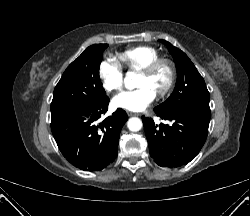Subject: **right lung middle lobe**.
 Instances as JSON below:
<instances>
[{
	"label": "right lung middle lobe",
	"mask_w": 250,
	"mask_h": 216,
	"mask_svg": "<svg viewBox=\"0 0 250 216\" xmlns=\"http://www.w3.org/2000/svg\"><path fill=\"white\" fill-rule=\"evenodd\" d=\"M106 47H88L67 67L54 89L52 118L88 108L107 97L99 77Z\"/></svg>",
	"instance_id": "right-lung-middle-lobe-1"
}]
</instances>
